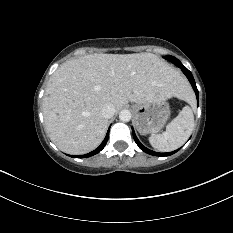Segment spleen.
Here are the masks:
<instances>
[{
    "mask_svg": "<svg viewBox=\"0 0 233 233\" xmlns=\"http://www.w3.org/2000/svg\"><path fill=\"white\" fill-rule=\"evenodd\" d=\"M185 98L191 103L193 98ZM194 128V115L190 106H185L161 134L149 137L151 146L160 152H170L181 147L191 135Z\"/></svg>",
    "mask_w": 233,
    "mask_h": 233,
    "instance_id": "obj_1",
    "label": "spleen"
}]
</instances>
